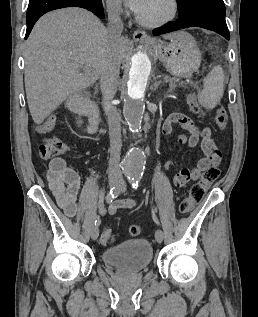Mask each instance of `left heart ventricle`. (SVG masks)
<instances>
[{"mask_svg":"<svg viewBox=\"0 0 258 317\" xmlns=\"http://www.w3.org/2000/svg\"><path fill=\"white\" fill-rule=\"evenodd\" d=\"M170 12V4L165 1H158L151 6L143 8L141 14L149 23H156Z\"/></svg>","mask_w":258,"mask_h":317,"instance_id":"obj_1","label":"left heart ventricle"}]
</instances>
